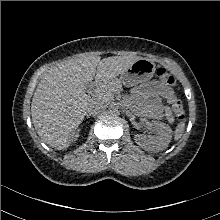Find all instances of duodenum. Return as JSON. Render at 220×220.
<instances>
[{"instance_id":"410a0bca","label":"duodenum","mask_w":220,"mask_h":220,"mask_svg":"<svg viewBox=\"0 0 220 220\" xmlns=\"http://www.w3.org/2000/svg\"><path fill=\"white\" fill-rule=\"evenodd\" d=\"M97 84H98V82L95 81V82L92 83V86H97Z\"/></svg>"}]
</instances>
